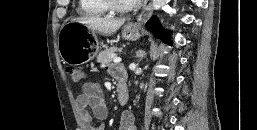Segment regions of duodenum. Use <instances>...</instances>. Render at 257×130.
Listing matches in <instances>:
<instances>
[{
  "instance_id": "obj_1",
  "label": "duodenum",
  "mask_w": 257,
  "mask_h": 130,
  "mask_svg": "<svg viewBox=\"0 0 257 130\" xmlns=\"http://www.w3.org/2000/svg\"><path fill=\"white\" fill-rule=\"evenodd\" d=\"M117 98L120 105H125L129 98L128 87L124 80L119 79V83L117 86Z\"/></svg>"
}]
</instances>
